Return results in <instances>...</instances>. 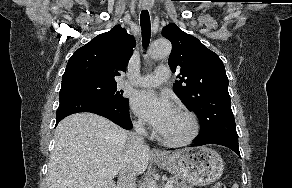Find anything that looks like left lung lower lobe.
<instances>
[{
  "label": "left lung lower lobe",
  "instance_id": "1",
  "mask_svg": "<svg viewBox=\"0 0 292 188\" xmlns=\"http://www.w3.org/2000/svg\"><path fill=\"white\" fill-rule=\"evenodd\" d=\"M206 144L222 145L240 155L235 120L225 121L206 132L200 133L199 138L191 146H202Z\"/></svg>",
  "mask_w": 292,
  "mask_h": 188
}]
</instances>
